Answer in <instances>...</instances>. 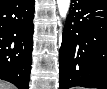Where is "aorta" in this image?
Returning a JSON list of instances; mask_svg holds the SVG:
<instances>
[{
	"mask_svg": "<svg viewBox=\"0 0 107 89\" xmlns=\"http://www.w3.org/2000/svg\"><path fill=\"white\" fill-rule=\"evenodd\" d=\"M57 6L60 17L66 19L70 7V0H57Z\"/></svg>",
	"mask_w": 107,
	"mask_h": 89,
	"instance_id": "obj_1",
	"label": "aorta"
}]
</instances>
